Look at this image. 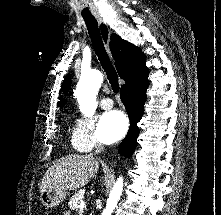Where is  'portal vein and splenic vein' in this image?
<instances>
[{
	"label": "portal vein and splenic vein",
	"instance_id": "portal-vein-and-splenic-vein-1",
	"mask_svg": "<svg viewBox=\"0 0 221 215\" xmlns=\"http://www.w3.org/2000/svg\"><path fill=\"white\" fill-rule=\"evenodd\" d=\"M85 206V202L82 200L81 202H80V207H84Z\"/></svg>",
	"mask_w": 221,
	"mask_h": 215
}]
</instances>
